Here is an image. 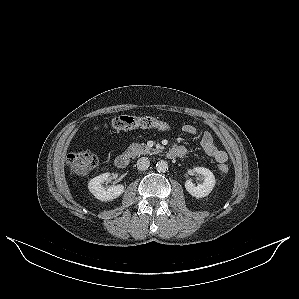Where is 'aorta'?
<instances>
[{
    "label": "aorta",
    "mask_w": 299,
    "mask_h": 299,
    "mask_svg": "<svg viewBox=\"0 0 299 299\" xmlns=\"http://www.w3.org/2000/svg\"><path fill=\"white\" fill-rule=\"evenodd\" d=\"M156 169L158 172L165 173L168 170V163L166 161H159L156 164Z\"/></svg>",
    "instance_id": "obj_1"
}]
</instances>
